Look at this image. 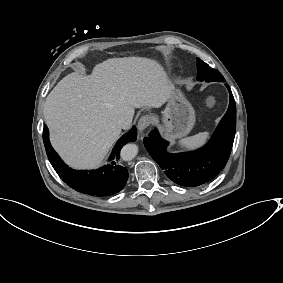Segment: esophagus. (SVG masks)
I'll use <instances>...</instances> for the list:
<instances>
[{
	"instance_id": "1",
	"label": "esophagus",
	"mask_w": 283,
	"mask_h": 283,
	"mask_svg": "<svg viewBox=\"0 0 283 283\" xmlns=\"http://www.w3.org/2000/svg\"><path fill=\"white\" fill-rule=\"evenodd\" d=\"M154 123V117L151 115H144L139 119L138 122V129L140 131L146 129L147 127H149L151 124Z\"/></svg>"
}]
</instances>
